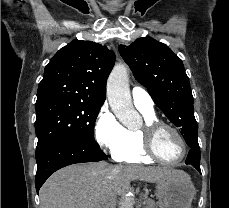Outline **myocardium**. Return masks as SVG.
I'll return each instance as SVG.
<instances>
[{
    "instance_id": "f54148a6",
    "label": "myocardium",
    "mask_w": 229,
    "mask_h": 208,
    "mask_svg": "<svg viewBox=\"0 0 229 208\" xmlns=\"http://www.w3.org/2000/svg\"><path fill=\"white\" fill-rule=\"evenodd\" d=\"M165 128L170 129L169 134L172 135L174 142L178 143V147H185L184 155L177 160H161V157H158V152H153V139H157L159 131ZM140 131L146 141V143H142V152L147 153V158H154L159 162L174 165L183 162L190 153L191 145L188 139L179 128L172 124L160 120L146 121Z\"/></svg>"
}]
</instances>
